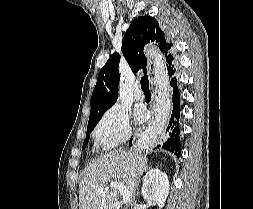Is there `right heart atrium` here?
Here are the masks:
<instances>
[{"mask_svg": "<svg viewBox=\"0 0 253 209\" xmlns=\"http://www.w3.org/2000/svg\"><path fill=\"white\" fill-rule=\"evenodd\" d=\"M131 135L129 114L117 106L108 109L102 115L93 131L96 146L104 151L126 143Z\"/></svg>", "mask_w": 253, "mask_h": 209, "instance_id": "right-heart-atrium-1", "label": "right heart atrium"}]
</instances>
